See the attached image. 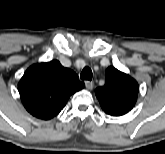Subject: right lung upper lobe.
<instances>
[{"mask_svg":"<svg viewBox=\"0 0 165 154\" xmlns=\"http://www.w3.org/2000/svg\"><path fill=\"white\" fill-rule=\"evenodd\" d=\"M85 84L58 60L30 66L18 84L21 100L33 116L48 120L56 116L69 97Z\"/></svg>","mask_w":165,"mask_h":154,"instance_id":"obj_1","label":"right lung upper lobe"}]
</instances>
